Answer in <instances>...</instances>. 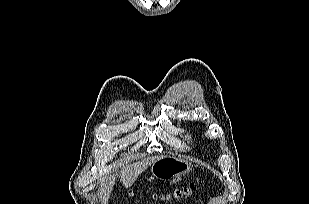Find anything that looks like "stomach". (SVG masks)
<instances>
[{
    "instance_id": "stomach-1",
    "label": "stomach",
    "mask_w": 309,
    "mask_h": 204,
    "mask_svg": "<svg viewBox=\"0 0 309 204\" xmlns=\"http://www.w3.org/2000/svg\"><path fill=\"white\" fill-rule=\"evenodd\" d=\"M191 170V163L184 159L165 156L154 161L150 167L153 177L161 180H171L185 175Z\"/></svg>"
}]
</instances>
